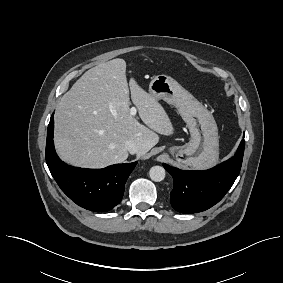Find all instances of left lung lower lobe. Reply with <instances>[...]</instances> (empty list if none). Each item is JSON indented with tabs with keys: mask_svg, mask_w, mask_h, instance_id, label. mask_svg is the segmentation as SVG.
Segmentation results:
<instances>
[{
	"mask_svg": "<svg viewBox=\"0 0 283 283\" xmlns=\"http://www.w3.org/2000/svg\"><path fill=\"white\" fill-rule=\"evenodd\" d=\"M244 146L242 140L233 158L205 171H185L163 164L174 180L170 193L173 208L180 213H197L218 203L239 175Z\"/></svg>",
	"mask_w": 283,
	"mask_h": 283,
	"instance_id": "0a47b994",
	"label": "left lung lower lobe"
}]
</instances>
